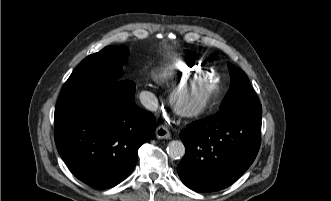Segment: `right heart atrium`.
<instances>
[{
  "mask_svg": "<svg viewBox=\"0 0 331 201\" xmlns=\"http://www.w3.org/2000/svg\"><path fill=\"white\" fill-rule=\"evenodd\" d=\"M157 94V91L155 89V87L148 85L146 87H144V89H142L140 96L142 98V100L149 102L151 100H153V98H155Z\"/></svg>",
  "mask_w": 331,
  "mask_h": 201,
  "instance_id": "right-heart-atrium-1",
  "label": "right heart atrium"
}]
</instances>
